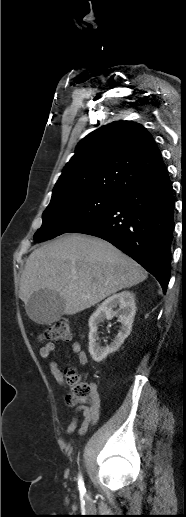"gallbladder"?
<instances>
[{"instance_id":"bac80fb5","label":"gallbladder","mask_w":186,"mask_h":517,"mask_svg":"<svg viewBox=\"0 0 186 517\" xmlns=\"http://www.w3.org/2000/svg\"><path fill=\"white\" fill-rule=\"evenodd\" d=\"M64 299L51 290H40L29 298L25 309L28 316L40 324H51L64 314Z\"/></svg>"}]
</instances>
